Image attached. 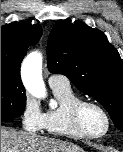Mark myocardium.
<instances>
[{"instance_id": "obj_1", "label": "myocardium", "mask_w": 123, "mask_h": 152, "mask_svg": "<svg viewBox=\"0 0 123 152\" xmlns=\"http://www.w3.org/2000/svg\"><path fill=\"white\" fill-rule=\"evenodd\" d=\"M87 106H92V107L98 109L103 114V116L106 120V128L102 133L92 134L84 128L82 121H81V115H82L83 109ZM71 119H72V123H73L75 129L80 134H82L84 137L92 138V139H97V138H101V137L105 136L108 133L110 126H111V119H110L108 112L99 103L90 101V100L80 99V100L76 101L71 107Z\"/></svg>"}]
</instances>
